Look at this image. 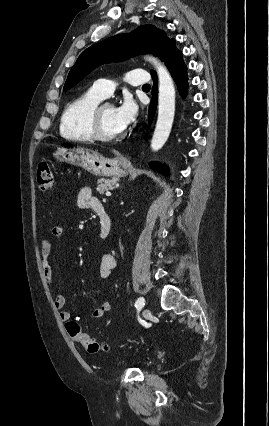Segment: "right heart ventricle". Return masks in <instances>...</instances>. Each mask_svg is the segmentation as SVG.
Masks as SVG:
<instances>
[{
  "label": "right heart ventricle",
  "mask_w": 269,
  "mask_h": 426,
  "mask_svg": "<svg viewBox=\"0 0 269 426\" xmlns=\"http://www.w3.org/2000/svg\"><path fill=\"white\" fill-rule=\"evenodd\" d=\"M102 99L92 90H88L70 102L61 116V135L78 142L93 140L89 126L90 114Z\"/></svg>",
  "instance_id": "1"
}]
</instances>
